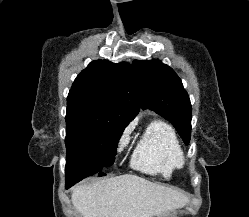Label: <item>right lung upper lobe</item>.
<instances>
[{
    "label": "right lung upper lobe",
    "mask_w": 249,
    "mask_h": 217,
    "mask_svg": "<svg viewBox=\"0 0 249 217\" xmlns=\"http://www.w3.org/2000/svg\"><path fill=\"white\" fill-rule=\"evenodd\" d=\"M67 102L89 103L129 122L143 107L133 67L126 62L115 64L107 60L91 62L76 77Z\"/></svg>",
    "instance_id": "obj_1"
}]
</instances>
